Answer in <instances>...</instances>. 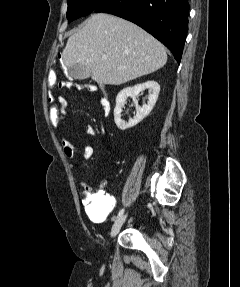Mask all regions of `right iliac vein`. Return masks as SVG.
Returning a JSON list of instances; mask_svg holds the SVG:
<instances>
[{"mask_svg":"<svg viewBox=\"0 0 240 287\" xmlns=\"http://www.w3.org/2000/svg\"><path fill=\"white\" fill-rule=\"evenodd\" d=\"M127 215H122L119 217L113 224L110 235L111 237H115L117 233L120 231L122 225L124 224L126 220Z\"/></svg>","mask_w":240,"mask_h":287,"instance_id":"1","label":"right iliac vein"}]
</instances>
